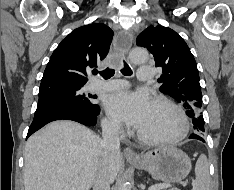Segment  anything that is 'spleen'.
<instances>
[{
	"label": "spleen",
	"instance_id": "1",
	"mask_svg": "<svg viewBox=\"0 0 234 190\" xmlns=\"http://www.w3.org/2000/svg\"><path fill=\"white\" fill-rule=\"evenodd\" d=\"M195 174L192 190H210L209 165L204 154H201L196 162Z\"/></svg>",
	"mask_w": 234,
	"mask_h": 190
}]
</instances>
